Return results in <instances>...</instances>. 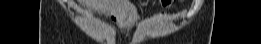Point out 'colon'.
Returning a JSON list of instances; mask_svg holds the SVG:
<instances>
[{
    "label": "colon",
    "instance_id": "5ec220e1",
    "mask_svg": "<svg viewBox=\"0 0 261 44\" xmlns=\"http://www.w3.org/2000/svg\"><path fill=\"white\" fill-rule=\"evenodd\" d=\"M160 5H161V6H170V5H171V2H170V1H161V2H160Z\"/></svg>",
    "mask_w": 261,
    "mask_h": 44
}]
</instances>
